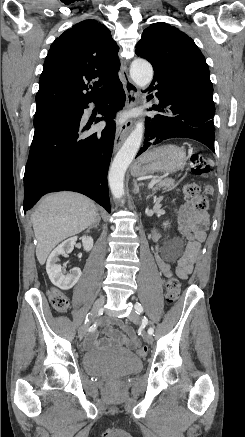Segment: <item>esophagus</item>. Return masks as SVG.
<instances>
[{"instance_id": "obj_1", "label": "esophagus", "mask_w": 245, "mask_h": 437, "mask_svg": "<svg viewBox=\"0 0 245 437\" xmlns=\"http://www.w3.org/2000/svg\"><path fill=\"white\" fill-rule=\"evenodd\" d=\"M121 74L123 77V86L126 94L125 107L127 110H130L136 105L138 101L139 90L137 86L130 80L126 70V62L123 60L121 61ZM132 123H133L132 119H128L118 127L114 140V148H113L114 153L117 152L118 149L121 147L122 143L124 142L127 136L129 129L132 126Z\"/></svg>"}]
</instances>
